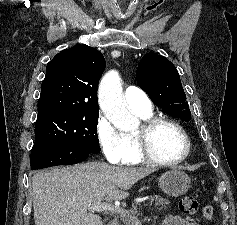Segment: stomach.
<instances>
[{"label": "stomach", "instance_id": "0dacf381", "mask_svg": "<svg viewBox=\"0 0 237 225\" xmlns=\"http://www.w3.org/2000/svg\"><path fill=\"white\" fill-rule=\"evenodd\" d=\"M159 187L168 196L178 197L186 194L191 187L189 176L178 169H171L159 178Z\"/></svg>", "mask_w": 237, "mask_h": 225}]
</instances>
